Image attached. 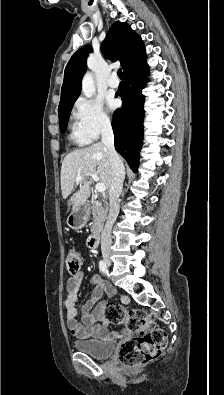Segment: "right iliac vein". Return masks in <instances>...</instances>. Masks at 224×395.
<instances>
[{
	"label": "right iliac vein",
	"mask_w": 224,
	"mask_h": 395,
	"mask_svg": "<svg viewBox=\"0 0 224 395\" xmlns=\"http://www.w3.org/2000/svg\"><path fill=\"white\" fill-rule=\"evenodd\" d=\"M104 260H105V262L108 264V266L111 265V260H110L109 255H104Z\"/></svg>",
	"instance_id": "63e3f726"
}]
</instances>
